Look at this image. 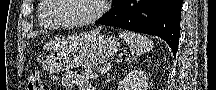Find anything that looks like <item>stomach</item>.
Returning a JSON list of instances; mask_svg holds the SVG:
<instances>
[{
  "mask_svg": "<svg viewBox=\"0 0 216 90\" xmlns=\"http://www.w3.org/2000/svg\"><path fill=\"white\" fill-rule=\"evenodd\" d=\"M119 47V41L113 36H92L79 51H75L71 55H50L44 61L43 67L50 73H59L72 67H94L113 58Z\"/></svg>",
  "mask_w": 216,
  "mask_h": 90,
  "instance_id": "0dacf381",
  "label": "stomach"
}]
</instances>
